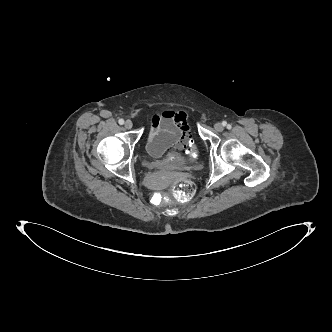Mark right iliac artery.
Returning a JSON list of instances; mask_svg holds the SVG:
<instances>
[{"instance_id": "right-iliac-artery-1", "label": "right iliac artery", "mask_w": 332, "mask_h": 332, "mask_svg": "<svg viewBox=\"0 0 332 332\" xmlns=\"http://www.w3.org/2000/svg\"><path fill=\"white\" fill-rule=\"evenodd\" d=\"M118 122H119L120 125H123V124H124V120H123V119H119Z\"/></svg>"}]
</instances>
